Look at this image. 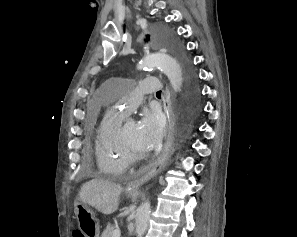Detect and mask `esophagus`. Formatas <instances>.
Wrapping results in <instances>:
<instances>
[{"label": "esophagus", "mask_w": 297, "mask_h": 237, "mask_svg": "<svg viewBox=\"0 0 297 237\" xmlns=\"http://www.w3.org/2000/svg\"><path fill=\"white\" fill-rule=\"evenodd\" d=\"M165 113L167 115V129L165 136V146L155 161L151 168L147 171H144L141 176L135 180L129 181L126 185V190L128 191H137L141 185L154 177L164 166L165 162L168 160L173 143H174V134H173V115L170 108L164 107Z\"/></svg>", "instance_id": "1"}]
</instances>
